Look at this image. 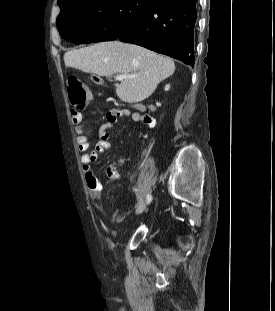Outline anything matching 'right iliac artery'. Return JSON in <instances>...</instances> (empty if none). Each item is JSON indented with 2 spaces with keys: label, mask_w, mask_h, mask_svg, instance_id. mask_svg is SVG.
Here are the masks:
<instances>
[{
  "label": "right iliac artery",
  "mask_w": 275,
  "mask_h": 311,
  "mask_svg": "<svg viewBox=\"0 0 275 311\" xmlns=\"http://www.w3.org/2000/svg\"><path fill=\"white\" fill-rule=\"evenodd\" d=\"M146 198H147V204L150 203L152 200V196L148 194Z\"/></svg>",
  "instance_id": "right-iliac-artery-1"
}]
</instances>
